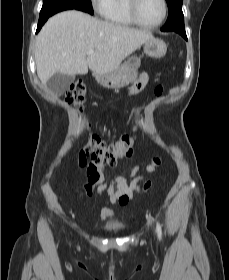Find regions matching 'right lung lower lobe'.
<instances>
[{"instance_id":"98d812e1","label":"right lung lower lobe","mask_w":229,"mask_h":280,"mask_svg":"<svg viewBox=\"0 0 229 280\" xmlns=\"http://www.w3.org/2000/svg\"><path fill=\"white\" fill-rule=\"evenodd\" d=\"M69 9H75V8H71V7H68V6H63V7L56 8V9L50 11V12L40 13L36 33H38V31L41 29V27L43 26V24L47 21V19H48L50 16H52V15L58 13V12H61V11H64V10H69ZM77 10H78V9H77Z\"/></svg>"}]
</instances>
